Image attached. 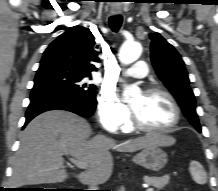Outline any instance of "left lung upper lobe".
Listing matches in <instances>:
<instances>
[{"instance_id":"obj_1","label":"left lung upper lobe","mask_w":218,"mask_h":191,"mask_svg":"<svg viewBox=\"0 0 218 191\" xmlns=\"http://www.w3.org/2000/svg\"><path fill=\"white\" fill-rule=\"evenodd\" d=\"M150 39L151 60L159 79L176 98L189 122L201 132L195 96L180 54L159 33L150 34Z\"/></svg>"}]
</instances>
